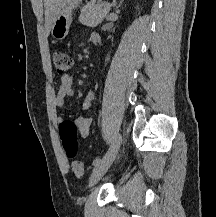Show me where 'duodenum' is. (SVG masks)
Returning <instances> with one entry per match:
<instances>
[{
	"label": "duodenum",
	"mask_w": 216,
	"mask_h": 217,
	"mask_svg": "<svg viewBox=\"0 0 216 217\" xmlns=\"http://www.w3.org/2000/svg\"><path fill=\"white\" fill-rule=\"evenodd\" d=\"M92 41H93V43H95V44L99 43V41H100L99 36H98V35L92 36Z\"/></svg>",
	"instance_id": "1"
}]
</instances>
